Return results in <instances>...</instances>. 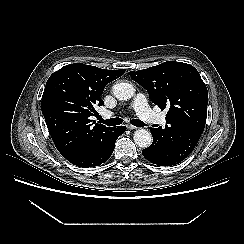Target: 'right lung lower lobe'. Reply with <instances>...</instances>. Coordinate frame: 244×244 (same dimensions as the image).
<instances>
[{"instance_id":"obj_1","label":"right lung lower lobe","mask_w":244,"mask_h":244,"mask_svg":"<svg viewBox=\"0 0 244 244\" xmlns=\"http://www.w3.org/2000/svg\"><path fill=\"white\" fill-rule=\"evenodd\" d=\"M126 130L125 126L112 127L108 134L94 147L70 153L65 158L72 164L82 167H95L106 162L112 155L117 138Z\"/></svg>"}]
</instances>
